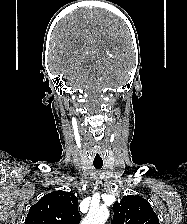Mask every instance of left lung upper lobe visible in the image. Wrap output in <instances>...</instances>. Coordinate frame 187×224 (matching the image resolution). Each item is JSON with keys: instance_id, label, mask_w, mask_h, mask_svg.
<instances>
[{"instance_id": "5c2ea615", "label": "left lung upper lobe", "mask_w": 187, "mask_h": 224, "mask_svg": "<svg viewBox=\"0 0 187 224\" xmlns=\"http://www.w3.org/2000/svg\"><path fill=\"white\" fill-rule=\"evenodd\" d=\"M112 224H159V219L149 202L138 196L128 195L113 204Z\"/></svg>"}]
</instances>
